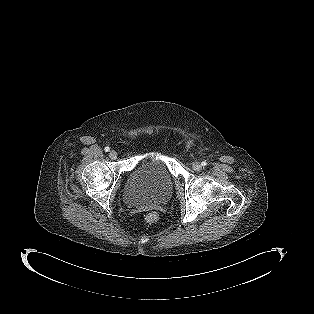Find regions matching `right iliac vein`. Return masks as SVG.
Segmentation results:
<instances>
[{
    "label": "right iliac vein",
    "instance_id": "right-iliac-vein-1",
    "mask_svg": "<svg viewBox=\"0 0 314 314\" xmlns=\"http://www.w3.org/2000/svg\"><path fill=\"white\" fill-rule=\"evenodd\" d=\"M117 156H118V154H117V152H116L115 150L110 151L109 157H110L111 159H116Z\"/></svg>",
    "mask_w": 314,
    "mask_h": 314
}]
</instances>
